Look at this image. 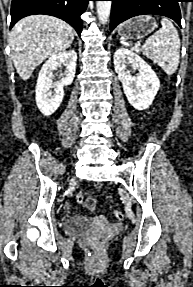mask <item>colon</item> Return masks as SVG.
<instances>
[{
	"label": "colon",
	"mask_w": 193,
	"mask_h": 287,
	"mask_svg": "<svg viewBox=\"0 0 193 287\" xmlns=\"http://www.w3.org/2000/svg\"><path fill=\"white\" fill-rule=\"evenodd\" d=\"M76 201L79 204L84 205L86 208L92 210L96 207V200L93 197H86L84 195H77L76 197ZM113 216L116 220H122L123 219V213L119 210H115L113 212ZM97 247V242H93L92 243V248H96Z\"/></svg>",
	"instance_id": "5ec220e1"
}]
</instances>
